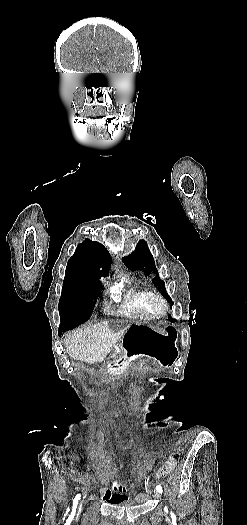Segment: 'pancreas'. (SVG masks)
<instances>
[{
  "instance_id": "cf45deb5",
  "label": "pancreas",
  "mask_w": 247,
  "mask_h": 525,
  "mask_svg": "<svg viewBox=\"0 0 247 525\" xmlns=\"http://www.w3.org/2000/svg\"><path fill=\"white\" fill-rule=\"evenodd\" d=\"M127 359V356L124 355V349H118V352H116V355H110L111 361H119V360H125Z\"/></svg>"
}]
</instances>
